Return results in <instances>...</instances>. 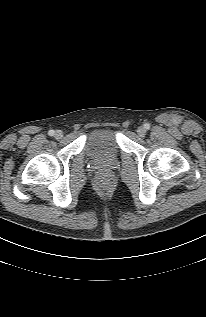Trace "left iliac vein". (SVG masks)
Wrapping results in <instances>:
<instances>
[{
    "label": "left iliac vein",
    "instance_id": "1",
    "mask_svg": "<svg viewBox=\"0 0 206 317\" xmlns=\"http://www.w3.org/2000/svg\"><path fill=\"white\" fill-rule=\"evenodd\" d=\"M137 133H138V135L140 136V137H144L145 136V134H146V129L144 128V127H138V129H137Z\"/></svg>",
    "mask_w": 206,
    "mask_h": 317
}]
</instances>
